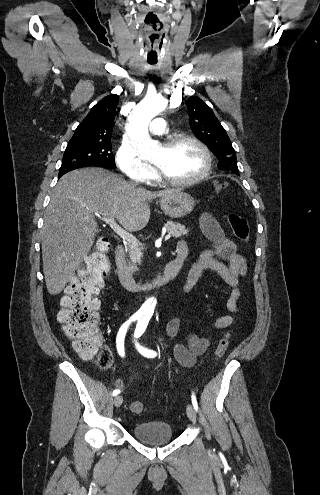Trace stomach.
Returning <instances> with one entry per match:
<instances>
[{
  "label": "stomach",
  "mask_w": 320,
  "mask_h": 495,
  "mask_svg": "<svg viewBox=\"0 0 320 495\" xmlns=\"http://www.w3.org/2000/svg\"><path fill=\"white\" fill-rule=\"evenodd\" d=\"M163 212L171 218H181L191 213L195 200L189 194L176 190L160 199Z\"/></svg>",
  "instance_id": "1"
}]
</instances>
